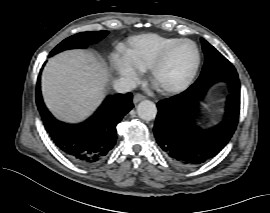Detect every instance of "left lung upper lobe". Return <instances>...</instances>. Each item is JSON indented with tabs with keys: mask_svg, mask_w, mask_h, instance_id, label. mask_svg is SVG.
I'll return each mask as SVG.
<instances>
[{
	"mask_svg": "<svg viewBox=\"0 0 270 213\" xmlns=\"http://www.w3.org/2000/svg\"><path fill=\"white\" fill-rule=\"evenodd\" d=\"M201 42L206 60L200 77L192 86L200 85L220 75L224 71L234 68V66L206 40L201 39Z\"/></svg>",
	"mask_w": 270,
	"mask_h": 213,
	"instance_id": "1",
	"label": "left lung upper lobe"
}]
</instances>
